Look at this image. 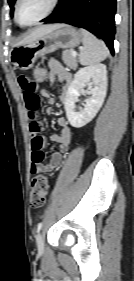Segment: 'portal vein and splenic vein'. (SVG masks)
<instances>
[{
    "label": "portal vein and splenic vein",
    "mask_w": 134,
    "mask_h": 281,
    "mask_svg": "<svg viewBox=\"0 0 134 281\" xmlns=\"http://www.w3.org/2000/svg\"><path fill=\"white\" fill-rule=\"evenodd\" d=\"M71 54H72V56L75 57L77 55V52L76 51H72Z\"/></svg>",
    "instance_id": "1"
}]
</instances>
